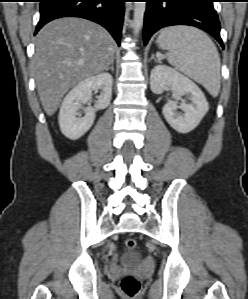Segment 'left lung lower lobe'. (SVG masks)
<instances>
[{
	"instance_id": "1",
	"label": "left lung lower lobe",
	"mask_w": 248,
	"mask_h": 299,
	"mask_svg": "<svg viewBox=\"0 0 248 299\" xmlns=\"http://www.w3.org/2000/svg\"><path fill=\"white\" fill-rule=\"evenodd\" d=\"M147 2L144 16V45L159 29L166 26L189 25L212 35L224 48L220 23L213 7L215 0H143Z\"/></svg>"
}]
</instances>
